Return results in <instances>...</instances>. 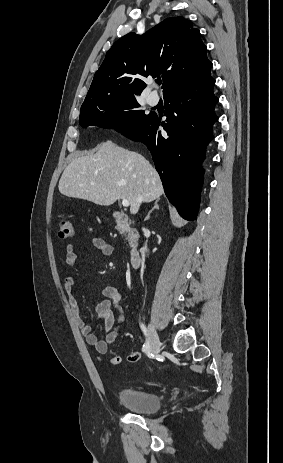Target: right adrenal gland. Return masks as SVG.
<instances>
[{"label": "right adrenal gland", "mask_w": 283, "mask_h": 463, "mask_svg": "<svg viewBox=\"0 0 283 463\" xmlns=\"http://www.w3.org/2000/svg\"><path fill=\"white\" fill-rule=\"evenodd\" d=\"M159 201H160V198H158V199L155 201L154 207L148 212V214H147L145 220H148V219L150 218V214L152 213L153 210L159 209V204H158Z\"/></svg>", "instance_id": "right-adrenal-gland-1"}]
</instances>
